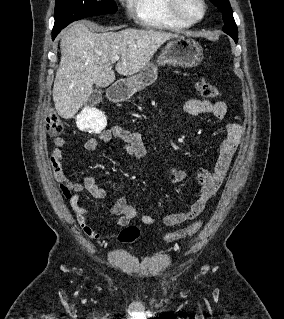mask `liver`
<instances>
[{
    "mask_svg": "<svg viewBox=\"0 0 284 319\" xmlns=\"http://www.w3.org/2000/svg\"><path fill=\"white\" fill-rule=\"evenodd\" d=\"M177 34L124 29L94 33L75 23L60 34L61 60L53 85V101L59 116L72 118L93 92V85L107 87L115 80L113 57L120 60L116 71L132 76L144 69L157 49Z\"/></svg>",
    "mask_w": 284,
    "mask_h": 319,
    "instance_id": "1",
    "label": "liver"
}]
</instances>
